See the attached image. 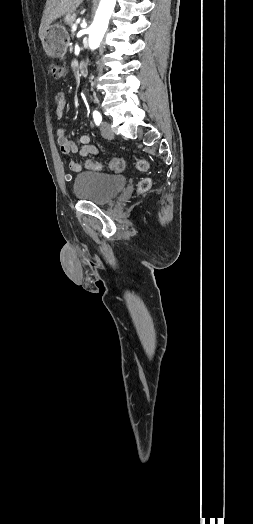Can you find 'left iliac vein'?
I'll list each match as a JSON object with an SVG mask.
<instances>
[{"label": "left iliac vein", "mask_w": 253, "mask_h": 524, "mask_svg": "<svg viewBox=\"0 0 253 524\" xmlns=\"http://www.w3.org/2000/svg\"><path fill=\"white\" fill-rule=\"evenodd\" d=\"M101 135L104 138H112L114 136L111 125L107 121H103L100 127Z\"/></svg>", "instance_id": "left-iliac-vein-1"}]
</instances>
